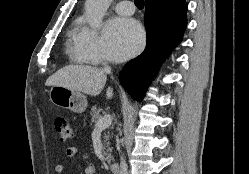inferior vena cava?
I'll return each instance as SVG.
<instances>
[{
  "label": "inferior vena cava",
  "instance_id": "602c4592",
  "mask_svg": "<svg viewBox=\"0 0 249 174\" xmlns=\"http://www.w3.org/2000/svg\"><path fill=\"white\" fill-rule=\"evenodd\" d=\"M103 71H104L105 73L110 74V73H111V68H110L107 64H104ZM120 174H128L127 164H126V162H125L123 156H121Z\"/></svg>",
  "mask_w": 249,
  "mask_h": 174
}]
</instances>
